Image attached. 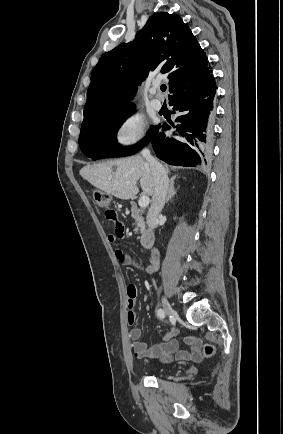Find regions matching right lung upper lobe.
Listing matches in <instances>:
<instances>
[{
    "label": "right lung upper lobe",
    "mask_w": 283,
    "mask_h": 434,
    "mask_svg": "<svg viewBox=\"0 0 283 434\" xmlns=\"http://www.w3.org/2000/svg\"><path fill=\"white\" fill-rule=\"evenodd\" d=\"M169 79V100L209 82L208 58L182 19L166 12L154 14L136 34L104 53L91 74L81 129L133 109L128 97L149 74Z\"/></svg>",
    "instance_id": "cb5924a9"
}]
</instances>
